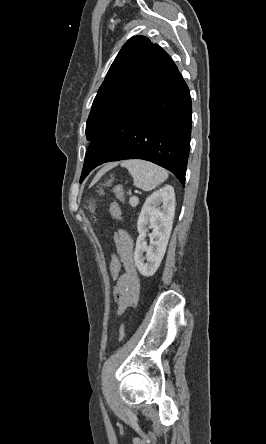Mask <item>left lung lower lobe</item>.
<instances>
[{"instance_id": "0a47b994", "label": "left lung lower lobe", "mask_w": 266, "mask_h": 444, "mask_svg": "<svg viewBox=\"0 0 266 444\" xmlns=\"http://www.w3.org/2000/svg\"><path fill=\"white\" fill-rule=\"evenodd\" d=\"M191 123L189 89L176 68L103 126L86 154L81 181L102 163L143 159L168 169L184 186Z\"/></svg>"}]
</instances>
